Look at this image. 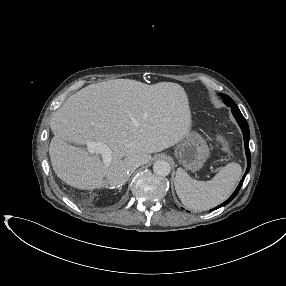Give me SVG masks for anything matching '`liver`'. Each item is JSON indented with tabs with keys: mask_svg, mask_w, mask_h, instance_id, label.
Masks as SVG:
<instances>
[{
	"mask_svg": "<svg viewBox=\"0 0 286 286\" xmlns=\"http://www.w3.org/2000/svg\"><path fill=\"white\" fill-rule=\"evenodd\" d=\"M188 96L171 82L146 85L130 79L91 84L70 96L54 113L49 155L57 177L81 190L118 188L134 160L179 143L191 128ZM102 142L112 151L105 166L99 154L70 145ZM131 172V171H130ZM105 178V179H104Z\"/></svg>",
	"mask_w": 286,
	"mask_h": 286,
	"instance_id": "liver-1",
	"label": "liver"
}]
</instances>
